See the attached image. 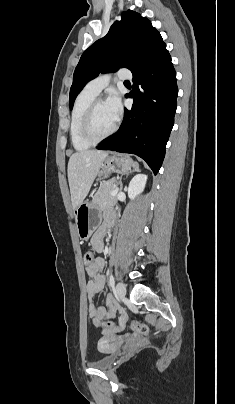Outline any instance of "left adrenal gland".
<instances>
[{
  "instance_id": "obj_1",
  "label": "left adrenal gland",
  "mask_w": 235,
  "mask_h": 404,
  "mask_svg": "<svg viewBox=\"0 0 235 404\" xmlns=\"http://www.w3.org/2000/svg\"><path fill=\"white\" fill-rule=\"evenodd\" d=\"M135 171L140 172L139 166L135 167ZM123 184H122V177L120 178V189L122 190Z\"/></svg>"
}]
</instances>
